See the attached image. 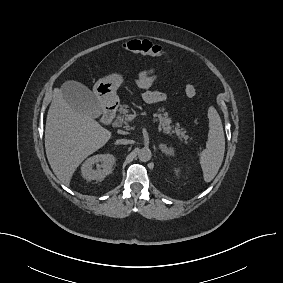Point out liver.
Here are the masks:
<instances>
[{"label": "liver", "instance_id": "6515ba94", "mask_svg": "<svg viewBox=\"0 0 283 283\" xmlns=\"http://www.w3.org/2000/svg\"><path fill=\"white\" fill-rule=\"evenodd\" d=\"M112 133L93 117L73 110L61 89L53 94L45 128V149L48 162L65 185L82 161L103 147Z\"/></svg>", "mask_w": 283, "mask_h": 283}]
</instances>
